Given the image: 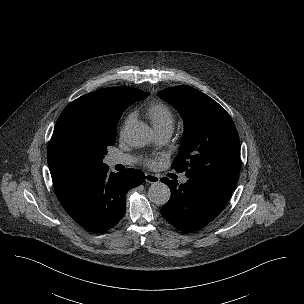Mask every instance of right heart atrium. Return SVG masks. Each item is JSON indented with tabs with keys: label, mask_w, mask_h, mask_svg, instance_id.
<instances>
[{
	"label": "right heart atrium",
	"mask_w": 304,
	"mask_h": 304,
	"mask_svg": "<svg viewBox=\"0 0 304 304\" xmlns=\"http://www.w3.org/2000/svg\"><path fill=\"white\" fill-rule=\"evenodd\" d=\"M132 119V115H129L126 119V123L129 122Z\"/></svg>",
	"instance_id": "right-heart-atrium-1"
}]
</instances>
